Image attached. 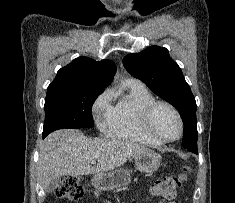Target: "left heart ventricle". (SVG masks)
<instances>
[{"mask_svg":"<svg viewBox=\"0 0 235 203\" xmlns=\"http://www.w3.org/2000/svg\"><path fill=\"white\" fill-rule=\"evenodd\" d=\"M151 129L159 137L171 139L178 135L179 123L169 108L161 106L152 117Z\"/></svg>","mask_w":235,"mask_h":203,"instance_id":"left-heart-ventricle-1","label":"left heart ventricle"}]
</instances>
